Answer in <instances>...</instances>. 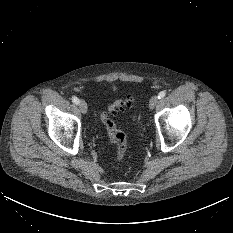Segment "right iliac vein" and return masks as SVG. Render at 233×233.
Segmentation results:
<instances>
[{"label":"right iliac vein","instance_id":"right-iliac-vein-1","mask_svg":"<svg viewBox=\"0 0 233 233\" xmlns=\"http://www.w3.org/2000/svg\"><path fill=\"white\" fill-rule=\"evenodd\" d=\"M80 111L85 114L87 112V103L84 100L79 101Z\"/></svg>","mask_w":233,"mask_h":233}]
</instances>
